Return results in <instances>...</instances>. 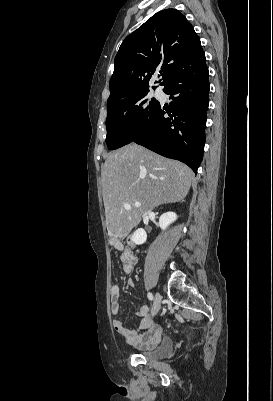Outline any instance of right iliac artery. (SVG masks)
I'll return each mask as SVG.
<instances>
[{
    "label": "right iliac artery",
    "instance_id": "right-iliac-artery-1",
    "mask_svg": "<svg viewBox=\"0 0 273 401\" xmlns=\"http://www.w3.org/2000/svg\"><path fill=\"white\" fill-rule=\"evenodd\" d=\"M148 298L150 299V300H153V295H152V293H148Z\"/></svg>",
    "mask_w": 273,
    "mask_h": 401
}]
</instances>
